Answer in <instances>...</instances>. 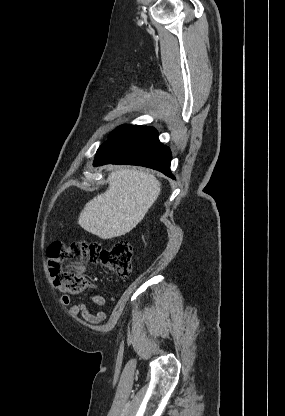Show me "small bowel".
Returning a JSON list of instances; mask_svg holds the SVG:
<instances>
[{"label": "small bowel", "instance_id": "c3829d8e", "mask_svg": "<svg viewBox=\"0 0 285 416\" xmlns=\"http://www.w3.org/2000/svg\"><path fill=\"white\" fill-rule=\"evenodd\" d=\"M84 296L100 308L104 307L107 303L106 299L101 295L85 292ZM61 303L63 305H70L71 296L65 294L61 298ZM69 314L73 317H81L85 322L91 325H98L104 322L107 318L106 313L102 309H98L95 313H92L84 303H76L71 305L69 307Z\"/></svg>", "mask_w": 285, "mask_h": 416}]
</instances>
